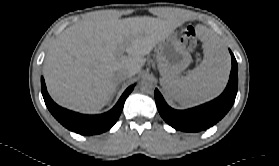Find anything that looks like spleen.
Returning a JSON list of instances; mask_svg holds the SVG:
<instances>
[{
  "label": "spleen",
  "mask_w": 279,
  "mask_h": 166,
  "mask_svg": "<svg viewBox=\"0 0 279 166\" xmlns=\"http://www.w3.org/2000/svg\"><path fill=\"white\" fill-rule=\"evenodd\" d=\"M199 36L203 41L204 58L187 76L161 79L163 88L183 105H196L218 96L224 89L230 71V59L224 45L207 28Z\"/></svg>",
  "instance_id": "spleen-1"
}]
</instances>
